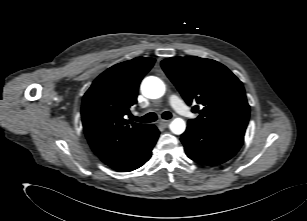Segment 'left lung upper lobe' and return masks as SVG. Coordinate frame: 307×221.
Returning <instances> with one entry per match:
<instances>
[{
  "mask_svg": "<svg viewBox=\"0 0 307 221\" xmlns=\"http://www.w3.org/2000/svg\"><path fill=\"white\" fill-rule=\"evenodd\" d=\"M161 66L188 105L195 104L199 127L244 136L250 106L241 81L224 65L196 56L172 57Z\"/></svg>",
  "mask_w": 307,
  "mask_h": 221,
  "instance_id": "5c2ea615",
  "label": "left lung upper lobe"
}]
</instances>
